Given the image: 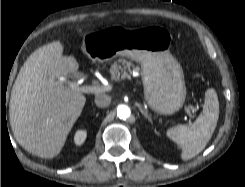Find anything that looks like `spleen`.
<instances>
[{
  "mask_svg": "<svg viewBox=\"0 0 245 187\" xmlns=\"http://www.w3.org/2000/svg\"><path fill=\"white\" fill-rule=\"evenodd\" d=\"M219 118V102L216 91L208 89L201 114L192 125H177L167 130L166 135L182 148L181 158L189 160L198 155L207 145Z\"/></svg>",
  "mask_w": 245,
  "mask_h": 187,
  "instance_id": "obj_1",
  "label": "spleen"
}]
</instances>
